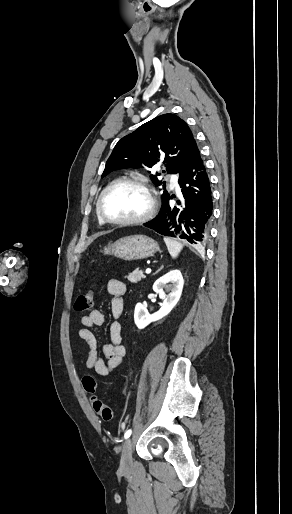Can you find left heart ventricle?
<instances>
[{
    "label": "left heart ventricle",
    "mask_w": 292,
    "mask_h": 514,
    "mask_svg": "<svg viewBox=\"0 0 292 514\" xmlns=\"http://www.w3.org/2000/svg\"><path fill=\"white\" fill-rule=\"evenodd\" d=\"M148 207L145 192L131 184L118 185L103 199V213L113 220H127L142 215Z\"/></svg>",
    "instance_id": "obj_1"
}]
</instances>
